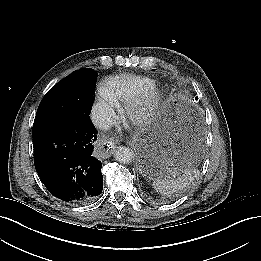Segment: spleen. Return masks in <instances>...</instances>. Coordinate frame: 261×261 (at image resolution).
<instances>
[{"label": "spleen", "mask_w": 261, "mask_h": 261, "mask_svg": "<svg viewBox=\"0 0 261 261\" xmlns=\"http://www.w3.org/2000/svg\"><path fill=\"white\" fill-rule=\"evenodd\" d=\"M197 169L186 168L182 174H177V177L165 176L158 177L153 181V188L162 195H169L189 186L198 176Z\"/></svg>", "instance_id": "obj_1"}]
</instances>
